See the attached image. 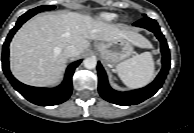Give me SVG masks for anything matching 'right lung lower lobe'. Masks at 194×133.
Here are the masks:
<instances>
[{
    "mask_svg": "<svg viewBox=\"0 0 194 133\" xmlns=\"http://www.w3.org/2000/svg\"><path fill=\"white\" fill-rule=\"evenodd\" d=\"M32 16L34 15L29 13L23 14L18 19L15 27L9 32L6 38V41L3 45L2 68L6 77L12 84V86L28 101L40 106L57 105L66 101L70 97L72 93V75L74 73L75 68L80 64L81 60L70 64L67 68L65 78L62 84L52 89L31 87V86L25 85L19 82L18 80H16L11 74L9 69V61H8L9 43L13 35L21 27V25L25 23L28 19H30Z\"/></svg>",
    "mask_w": 194,
    "mask_h": 133,
    "instance_id": "right-lung-lower-lobe-1",
    "label": "right lung lower lobe"
}]
</instances>
